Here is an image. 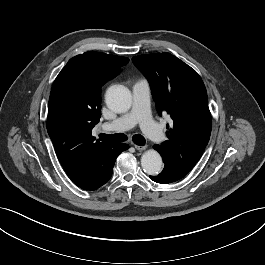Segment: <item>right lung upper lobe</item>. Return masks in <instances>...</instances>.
<instances>
[{
	"mask_svg": "<svg viewBox=\"0 0 265 265\" xmlns=\"http://www.w3.org/2000/svg\"><path fill=\"white\" fill-rule=\"evenodd\" d=\"M126 57L86 52L69 60L55 79L49 100L47 131L67 174L96 151L112 144L95 141L92 128L101 115V87Z\"/></svg>",
	"mask_w": 265,
	"mask_h": 265,
	"instance_id": "cb5924a9",
	"label": "right lung upper lobe"
}]
</instances>
